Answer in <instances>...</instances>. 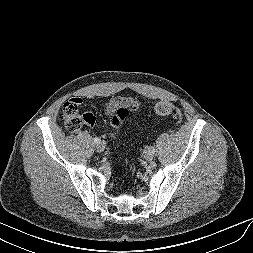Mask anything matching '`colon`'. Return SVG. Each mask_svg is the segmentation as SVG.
<instances>
[{"instance_id": "obj_1", "label": "colon", "mask_w": 253, "mask_h": 253, "mask_svg": "<svg viewBox=\"0 0 253 253\" xmlns=\"http://www.w3.org/2000/svg\"><path fill=\"white\" fill-rule=\"evenodd\" d=\"M82 101L79 98L68 100L62 108L61 120L64 122L67 130L71 132L78 131L83 125H93L95 117L92 113L82 110ZM153 111L159 116L174 114L178 121L182 119L181 111L171 102L166 100L158 101L153 106ZM129 109L121 106L116 110V114L112 118L114 127L113 134L116 135L121 123L128 117Z\"/></svg>"}]
</instances>
